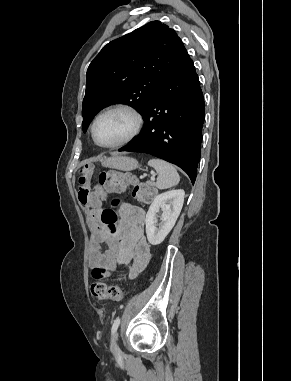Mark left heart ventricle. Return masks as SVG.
I'll return each instance as SVG.
<instances>
[{"mask_svg": "<svg viewBox=\"0 0 291 381\" xmlns=\"http://www.w3.org/2000/svg\"><path fill=\"white\" fill-rule=\"evenodd\" d=\"M134 118L125 111H114L100 118L96 136L102 144H113L127 137L134 128Z\"/></svg>", "mask_w": 291, "mask_h": 381, "instance_id": "1", "label": "left heart ventricle"}]
</instances>
